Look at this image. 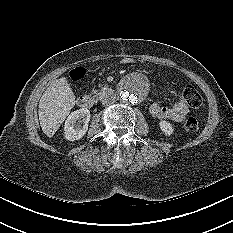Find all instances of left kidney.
<instances>
[{
	"mask_svg": "<svg viewBox=\"0 0 233 233\" xmlns=\"http://www.w3.org/2000/svg\"><path fill=\"white\" fill-rule=\"evenodd\" d=\"M159 126H160L161 131H162L165 135H168V136H169V135H171V134L173 133V131H174L172 124H171L170 122H168V121H165V120L160 121Z\"/></svg>",
	"mask_w": 233,
	"mask_h": 233,
	"instance_id": "1",
	"label": "left kidney"
}]
</instances>
